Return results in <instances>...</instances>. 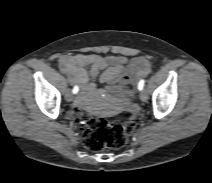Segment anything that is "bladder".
<instances>
[{"mask_svg":"<svg viewBox=\"0 0 212 183\" xmlns=\"http://www.w3.org/2000/svg\"><path fill=\"white\" fill-rule=\"evenodd\" d=\"M113 92H114V93H118V91H117V90H113Z\"/></svg>","mask_w":212,"mask_h":183,"instance_id":"obj_1","label":"bladder"}]
</instances>
